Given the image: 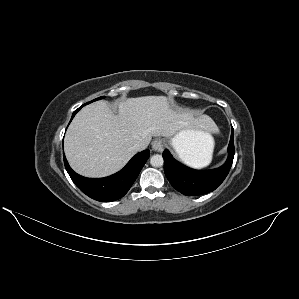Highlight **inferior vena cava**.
<instances>
[{
	"label": "inferior vena cava",
	"mask_w": 299,
	"mask_h": 299,
	"mask_svg": "<svg viewBox=\"0 0 299 299\" xmlns=\"http://www.w3.org/2000/svg\"><path fill=\"white\" fill-rule=\"evenodd\" d=\"M148 146V143L145 141H138L134 144L133 149L135 151H142L144 149H146Z\"/></svg>",
	"instance_id": "obj_1"
}]
</instances>
